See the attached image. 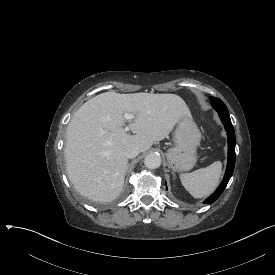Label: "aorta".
<instances>
[{
	"label": "aorta",
	"mask_w": 275,
	"mask_h": 275,
	"mask_svg": "<svg viewBox=\"0 0 275 275\" xmlns=\"http://www.w3.org/2000/svg\"><path fill=\"white\" fill-rule=\"evenodd\" d=\"M144 164L149 169H156L161 165V157L157 153H150L145 157Z\"/></svg>",
	"instance_id": "obj_1"
}]
</instances>
